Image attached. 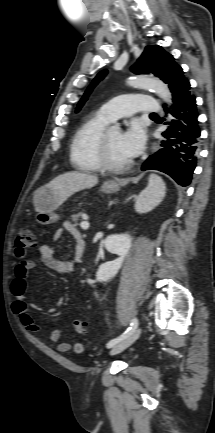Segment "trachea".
<instances>
[{"label": "trachea", "instance_id": "trachea-1", "mask_svg": "<svg viewBox=\"0 0 215 433\" xmlns=\"http://www.w3.org/2000/svg\"><path fill=\"white\" fill-rule=\"evenodd\" d=\"M151 116H156V114L153 113V114H151Z\"/></svg>", "mask_w": 215, "mask_h": 433}]
</instances>
